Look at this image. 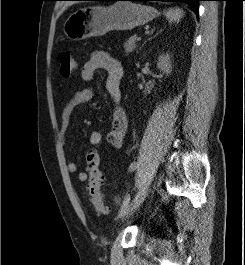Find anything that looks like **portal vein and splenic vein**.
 I'll list each match as a JSON object with an SVG mask.
<instances>
[{"label": "portal vein and splenic vein", "instance_id": "obj_1", "mask_svg": "<svg viewBox=\"0 0 245 265\" xmlns=\"http://www.w3.org/2000/svg\"><path fill=\"white\" fill-rule=\"evenodd\" d=\"M137 41H138V42L141 41V37H138V38H137Z\"/></svg>", "mask_w": 245, "mask_h": 265}]
</instances>
